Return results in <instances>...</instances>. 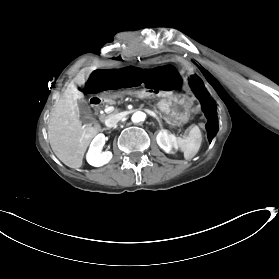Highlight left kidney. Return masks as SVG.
<instances>
[{
	"instance_id": "5707ae66",
	"label": "left kidney",
	"mask_w": 279,
	"mask_h": 279,
	"mask_svg": "<svg viewBox=\"0 0 279 279\" xmlns=\"http://www.w3.org/2000/svg\"><path fill=\"white\" fill-rule=\"evenodd\" d=\"M156 140L160 148L166 153H172L173 147H177V138L165 129L158 132Z\"/></svg>"
}]
</instances>
